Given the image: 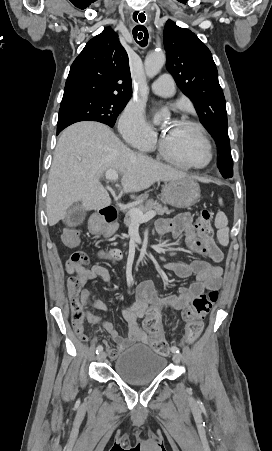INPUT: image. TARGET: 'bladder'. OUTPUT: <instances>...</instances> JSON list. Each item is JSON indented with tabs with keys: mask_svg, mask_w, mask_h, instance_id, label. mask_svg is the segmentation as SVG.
<instances>
[{
	"mask_svg": "<svg viewBox=\"0 0 272 451\" xmlns=\"http://www.w3.org/2000/svg\"><path fill=\"white\" fill-rule=\"evenodd\" d=\"M167 365L166 357L148 346L134 345L122 352L114 363L116 376L130 384H150Z\"/></svg>",
	"mask_w": 272,
	"mask_h": 451,
	"instance_id": "31cf9c89",
	"label": "bladder"
}]
</instances>
